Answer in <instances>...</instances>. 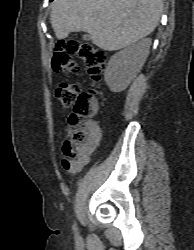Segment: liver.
<instances>
[{"label": "liver", "instance_id": "obj_1", "mask_svg": "<svg viewBox=\"0 0 194 250\" xmlns=\"http://www.w3.org/2000/svg\"><path fill=\"white\" fill-rule=\"evenodd\" d=\"M163 0H54L50 21L58 39L87 32L106 51L125 48L156 28Z\"/></svg>", "mask_w": 194, "mask_h": 250}]
</instances>
